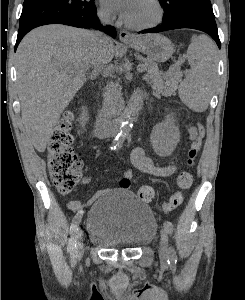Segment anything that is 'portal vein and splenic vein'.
<instances>
[{
    "label": "portal vein and splenic vein",
    "instance_id": "portal-vein-and-splenic-vein-1",
    "mask_svg": "<svg viewBox=\"0 0 245 300\" xmlns=\"http://www.w3.org/2000/svg\"><path fill=\"white\" fill-rule=\"evenodd\" d=\"M138 72L139 73H143L146 69H145V66L143 64H140L137 68Z\"/></svg>",
    "mask_w": 245,
    "mask_h": 300
}]
</instances>
